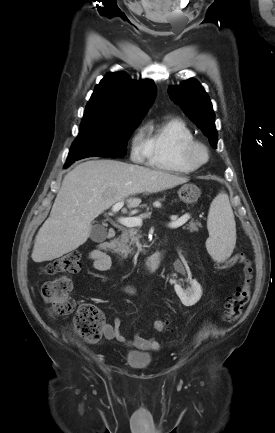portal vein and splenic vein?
I'll return each instance as SVG.
<instances>
[{"label": "portal vein and splenic vein", "instance_id": "1", "mask_svg": "<svg viewBox=\"0 0 275 433\" xmlns=\"http://www.w3.org/2000/svg\"><path fill=\"white\" fill-rule=\"evenodd\" d=\"M124 205L123 201L117 202L116 204H114L112 206V212H118ZM144 217H147V215H142L139 217H120L118 219V222L124 226L127 227H136V226H141L142 225V219ZM190 218L189 214H185L182 217L178 218V219H172V221L168 224V226L170 228H178L182 225H184Z\"/></svg>", "mask_w": 275, "mask_h": 433}]
</instances>
